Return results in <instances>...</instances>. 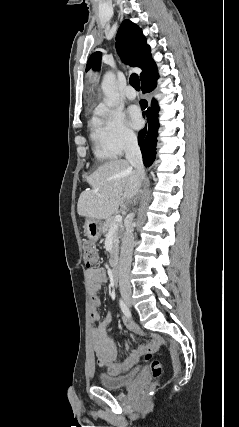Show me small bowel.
<instances>
[{
	"label": "small bowel",
	"instance_id": "obj_1",
	"mask_svg": "<svg viewBox=\"0 0 239 427\" xmlns=\"http://www.w3.org/2000/svg\"><path fill=\"white\" fill-rule=\"evenodd\" d=\"M87 276L91 292L90 318L94 323L91 335L97 361L99 365L107 368L108 374L119 375L130 370L144 352L157 350L160 345V337L151 335L144 343L129 352L123 360L117 362L120 350H126L127 345L124 341L111 340L106 334V328L113 319L112 314L107 313L100 324H95L99 319L100 299L98 293L102 286L108 282L106 271L101 267L88 269ZM124 323L127 330L133 335L143 336V332L133 321L125 319Z\"/></svg>",
	"mask_w": 239,
	"mask_h": 427
}]
</instances>
